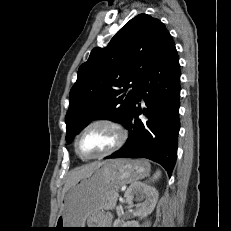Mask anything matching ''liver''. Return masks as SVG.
Returning <instances> with one entry per match:
<instances>
[{
	"label": "liver",
	"mask_w": 231,
	"mask_h": 231,
	"mask_svg": "<svg viewBox=\"0 0 231 231\" xmlns=\"http://www.w3.org/2000/svg\"><path fill=\"white\" fill-rule=\"evenodd\" d=\"M104 164V162H93L91 164H87V165H84V166H81L79 168H76L74 170H72L70 173H69V176L66 180V183L63 187V190H62V198L63 196L65 195V193L67 192V190L73 185L75 184L77 181H79L80 179L86 177V176H89L90 174H92V172L102 166Z\"/></svg>",
	"instance_id": "6515ba94"
}]
</instances>
